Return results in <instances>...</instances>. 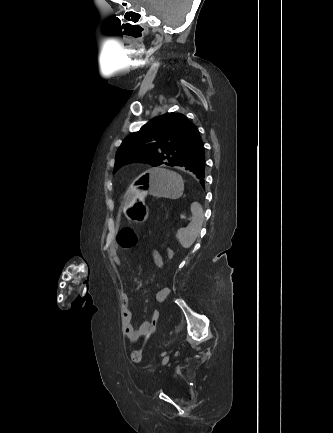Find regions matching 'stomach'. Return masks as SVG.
Masks as SVG:
<instances>
[{"instance_id":"0dacf381","label":"stomach","mask_w":333,"mask_h":433,"mask_svg":"<svg viewBox=\"0 0 333 433\" xmlns=\"http://www.w3.org/2000/svg\"><path fill=\"white\" fill-rule=\"evenodd\" d=\"M138 183L148 185L143 192L144 199L137 201L128 214V218L136 225H142L148 217L145 201L148 193L165 199H184L183 180L173 169H145L143 174H138Z\"/></svg>"}]
</instances>
